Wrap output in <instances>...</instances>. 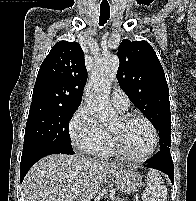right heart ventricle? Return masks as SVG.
<instances>
[{
  "label": "right heart ventricle",
  "instance_id": "right-heart-ventricle-1",
  "mask_svg": "<svg viewBox=\"0 0 196 201\" xmlns=\"http://www.w3.org/2000/svg\"><path fill=\"white\" fill-rule=\"evenodd\" d=\"M97 154L100 155L101 157H111L117 155L109 133H107V139L105 145L99 152H97Z\"/></svg>",
  "mask_w": 196,
  "mask_h": 201
}]
</instances>
